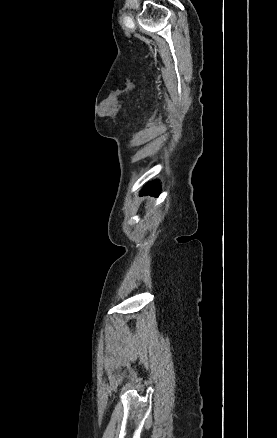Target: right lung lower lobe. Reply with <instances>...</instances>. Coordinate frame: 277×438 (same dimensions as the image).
<instances>
[{
  "mask_svg": "<svg viewBox=\"0 0 277 438\" xmlns=\"http://www.w3.org/2000/svg\"><path fill=\"white\" fill-rule=\"evenodd\" d=\"M160 192V185L156 182H150L148 183L142 191V194H150V195H154V196H158Z\"/></svg>",
  "mask_w": 277,
  "mask_h": 438,
  "instance_id": "right-lung-lower-lobe-1",
  "label": "right lung lower lobe"
}]
</instances>
